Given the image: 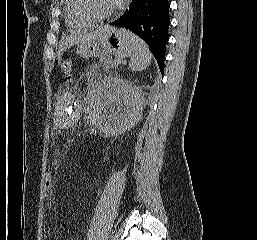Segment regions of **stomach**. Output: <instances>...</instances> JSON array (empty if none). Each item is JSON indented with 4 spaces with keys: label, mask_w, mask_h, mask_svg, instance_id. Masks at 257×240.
Masks as SVG:
<instances>
[{
    "label": "stomach",
    "mask_w": 257,
    "mask_h": 240,
    "mask_svg": "<svg viewBox=\"0 0 257 240\" xmlns=\"http://www.w3.org/2000/svg\"><path fill=\"white\" fill-rule=\"evenodd\" d=\"M99 46L103 47L107 52L113 53L118 57H127L130 55V44L124 29H117L107 25L103 34L96 40L79 44L76 49L78 56L84 59L94 57Z\"/></svg>",
    "instance_id": "obj_1"
}]
</instances>
